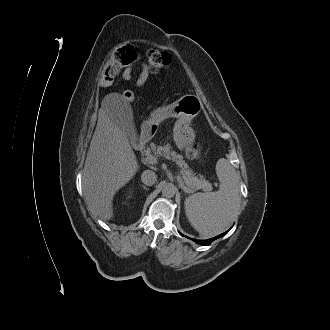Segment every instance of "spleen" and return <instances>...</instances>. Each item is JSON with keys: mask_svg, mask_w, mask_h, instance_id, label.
Listing matches in <instances>:
<instances>
[{"mask_svg": "<svg viewBox=\"0 0 330 330\" xmlns=\"http://www.w3.org/2000/svg\"><path fill=\"white\" fill-rule=\"evenodd\" d=\"M216 174L220 181L217 192H198L186 198L184 203L188 221L204 238L223 232L240 207L238 174L227 159L217 161Z\"/></svg>", "mask_w": 330, "mask_h": 330, "instance_id": "obj_1", "label": "spleen"}]
</instances>
